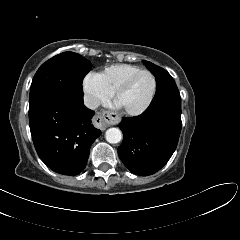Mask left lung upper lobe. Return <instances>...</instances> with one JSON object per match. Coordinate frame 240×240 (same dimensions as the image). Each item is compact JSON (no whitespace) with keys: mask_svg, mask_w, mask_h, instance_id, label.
I'll return each instance as SVG.
<instances>
[{"mask_svg":"<svg viewBox=\"0 0 240 240\" xmlns=\"http://www.w3.org/2000/svg\"><path fill=\"white\" fill-rule=\"evenodd\" d=\"M143 63L156 77V94L151 104L161 101H181L178 88L171 75L151 62L143 61Z\"/></svg>","mask_w":240,"mask_h":240,"instance_id":"5c2ea615","label":"left lung upper lobe"}]
</instances>
